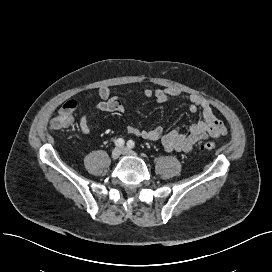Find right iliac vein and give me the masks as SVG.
I'll list each match as a JSON object with an SVG mask.
<instances>
[{
	"mask_svg": "<svg viewBox=\"0 0 272 272\" xmlns=\"http://www.w3.org/2000/svg\"><path fill=\"white\" fill-rule=\"evenodd\" d=\"M121 155V149L120 148H114L112 153H111V157L113 160H117Z\"/></svg>",
	"mask_w": 272,
	"mask_h": 272,
	"instance_id": "63e3f726",
	"label": "right iliac vein"
}]
</instances>
